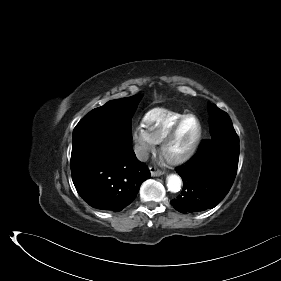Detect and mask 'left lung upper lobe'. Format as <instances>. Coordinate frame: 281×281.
<instances>
[{
    "mask_svg": "<svg viewBox=\"0 0 281 281\" xmlns=\"http://www.w3.org/2000/svg\"><path fill=\"white\" fill-rule=\"evenodd\" d=\"M210 134L215 143L239 140L228 114L214 104L210 106Z\"/></svg>",
    "mask_w": 281,
    "mask_h": 281,
    "instance_id": "obj_1",
    "label": "left lung upper lobe"
}]
</instances>
